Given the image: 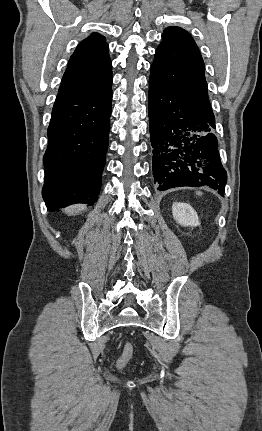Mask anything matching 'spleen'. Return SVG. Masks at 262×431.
I'll list each match as a JSON object with an SVG mask.
<instances>
[{
	"label": "spleen",
	"mask_w": 262,
	"mask_h": 431,
	"mask_svg": "<svg viewBox=\"0 0 262 431\" xmlns=\"http://www.w3.org/2000/svg\"><path fill=\"white\" fill-rule=\"evenodd\" d=\"M197 194H198V195H201L202 193H201V192H197Z\"/></svg>",
	"instance_id": "1"
}]
</instances>
